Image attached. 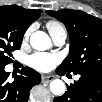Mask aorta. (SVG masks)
Masks as SVG:
<instances>
[{"label":"aorta","instance_id":"obj_1","mask_svg":"<svg viewBox=\"0 0 102 102\" xmlns=\"http://www.w3.org/2000/svg\"><path fill=\"white\" fill-rule=\"evenodd\" d=\"M30 45L39 51H44L50 48L51 40L43 31H36L30 37ZM50 91L56 95H63L65 92V84L62 80L56 79L50 83Z\"/></svg>","mask_w":102,"mask_h":102}]
</instances>
